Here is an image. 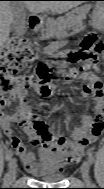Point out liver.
I'll list each match as a JSON object with an SVG mask.
<instances>
[{
  "label": "liver",
  "mask_w": 104,
  "mask_h": 189,
  "mask_svg": "<svg viewBox=\"0 0 104 189\" xmlns=\"http://www.w3.org/2000/svg\"><path fill=\"white\" fill-rule=\"evenodd\" d=\"M80 1H25L22 4L34 13H42L51 9L57 13L67 12L69 9L79 5ZM12 2L1 1L0 3V43L4 45L8 39L14 21V11L11 8Z\"/></svg>",
  "instance_id": "1"
}]
</instances>
